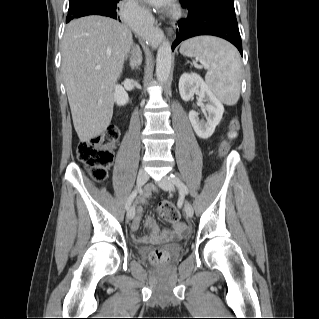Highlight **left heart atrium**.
Wrapping results in <instances>:
<instances>
[{
    "mask_svg": "<svg viewBox=\"0 0 319 319\" xmlns=\"http://www.w3.org/2000/svg\"><path fill=\"white\" fill-rule=\"evenodd\" d=\"M148 1L155 6H165L168 3H170L171 0H148Z\"/></svg>",
    "mask_w": 319,
    "mask_h": 319,
    "instance_id": "obj_1",
    "label": "left heart atrium"
}]
</instances>
